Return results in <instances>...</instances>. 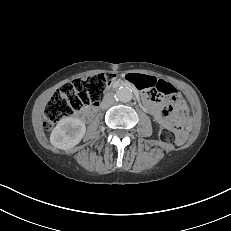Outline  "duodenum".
<instances>
[{"label":"duodenum","mask_w":231,"mask_h":231,"mask_svg":"<svg viewBox=\"0 0 231 231\" xmlns=\"http://www.w3.org/2000/svg\"><path fill=\"white\" fill-rule=\"evenodd\" d=\"M142 98H143V97H142ZM145 103H147V101H145ZM93 111H95V110H91V111L87 112L86 114H87L88 116H90L91 113H92Z\"/></svg>","instance_id":"1"}]
</instances>
